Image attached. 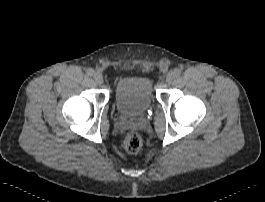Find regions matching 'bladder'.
Returning <instances> with one entry per match:
<instances>
[{
  "mask_svg": "<svg viewBox=\"0 0 265 202\" xmlns=\"http://www.w3.org/2000/svg\"><path fill=\"white\" fill-rule=\"evenodd\" d=\"M155 100L153 83L147 77H127L117 82L114 101L124 116H135L149 109Z\"/></svg>",
  "mask_w": 265,
  "mask_h": 202,
  "instance_id": "obj_1",
  "label": "bladder"
}]
</instances>
